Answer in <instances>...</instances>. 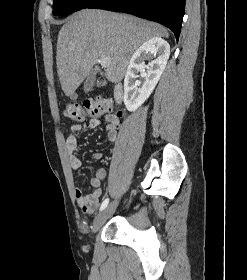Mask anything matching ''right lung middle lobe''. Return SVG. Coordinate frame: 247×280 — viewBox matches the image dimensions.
Instances as JSON below:
<instances>
[{"label":"right lung middle lobe","instance_id":"right-lung-middle-lobe-1","mask_svg":"<svg viewBox=\"0 0 247 280\" xmlns=\"http://www.w3.org/2000/svg\"><path fill=\"white\" fill-rule=\"evenodd\" d=\"M97 0H54L53 14L65 16L73 12L88 8Z\"/></svg>","mask_w":247,"mask_h":280}]
</instances>
